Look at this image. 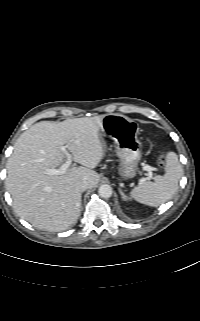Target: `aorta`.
<instances>
[{
    "mask_svg": "<svg viewBox=\"0 0 200 321\" xmlns=\"http://www.w3.org/2000/svg\"><path fill=\"white\" fill-rule=\"evenodd\" d=\"M98 192L102 198H110L113 191L110 185L103 184L99 187Z\"/></svg>",
    "mask_w": 200,
    "mask_h": 321,
    "instance_id": "aorta-1",
    "label": "aorta"
}]
</instances>
